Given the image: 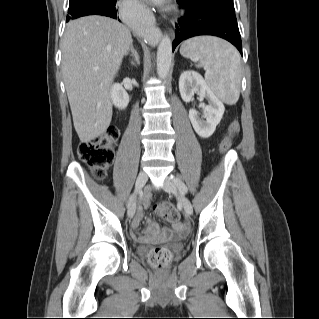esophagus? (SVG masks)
I'll use <instances>...</instances> for the list:
<instances>
[{"label": "esophagus", "instance_id": "esophagus-1", "mask_svg": "<svg viewBox=\"0 0 319 319\" xmlns=\"http://www.w3.org/2000/svg\"><path fill=\"white\" fill-rule=\"evenodd\" d=\"M160 37H161V32H160V30H158V31H157L156 43H158Z\"/></svg>", "mask_w": 319, "mask_h": 319}]
</instances>
